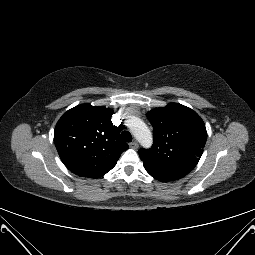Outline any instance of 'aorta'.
Masks as SVG:
<instances>
[{
  "label": "aorta",
  "mask_w": 255,
  "mask_h": 255,
  "mask_svg": "<svg viewBox=\"0 0 255 255\" xmlns=\"http://www.w3.org/2000/svg\"><path fill=\"white\" fill-rule=\"evenodd\" d=\"M129 128L143 147H150L153 142L152 134L147 125L138 117H131L129 120Z\"/></svg>",
  "instance_id": "1"
}]
</instances>
